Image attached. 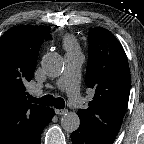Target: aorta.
<instances>
[{
	"mask_svg": "<svg viewBox=\"0 0 144 144\" xmlns=\"http://www.w3.org/2000/svg\"><path fill=\"white\" fill-rule=\"evenodd\" d=\"M43 71L49 77H58L62 74L64 69V62L62 57L57 53H48L42 59ZM80 119L77 113L68 112L61 118V126L67 132H74L79 128Z\"/></svg>",
	"mask_w": 144,
	"mask_h": 144,
	"instance_id": "aorta-1",
	"label": "aorta"
}]
</instances>
